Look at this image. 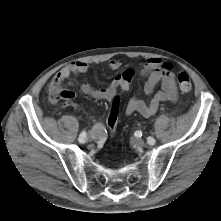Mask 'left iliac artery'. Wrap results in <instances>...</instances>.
Returning <instances> with one entry per match:
<instances>
[{
  "label": "left iliac artery",
  "instance_id": "44dca946",
  "mask_svg": "<svg viewBox=\"0 0 221 221\" xmlns=\"http://www.w3.org/2000/svg\"><path fill=\"white\" fill-rule=\"evenodd\" d=\"M147 142H148V144H150V145H154V143H153V138H152V137H148V138H147Z\"/></svg>",
  "mask_w": 221,
  "mask_h": 221
}]
</instances>
